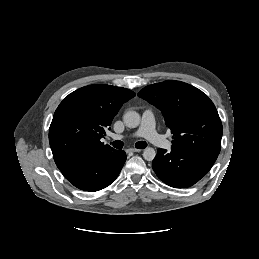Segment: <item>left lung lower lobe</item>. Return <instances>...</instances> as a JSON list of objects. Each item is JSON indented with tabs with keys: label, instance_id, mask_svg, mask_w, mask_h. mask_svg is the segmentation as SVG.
<instances>
[{
	"label": "left lung lower lobe",
	"instance_id": "0a47b994",
	"mask_svg": "<svg viewBox=\"0 0 259 259\" xmlns=\"http://www.w3.org/2000/svg\"><path fill=\"white\" fill-rule=\"evenodd\" d=\"M218 154L207 151L171 152L158 149L152 167L158 178L175 188H186L198 182L211 169Z\"/></svg>",
	"mask_w": 259,
	"mask_h": 259
}]
</instances>
